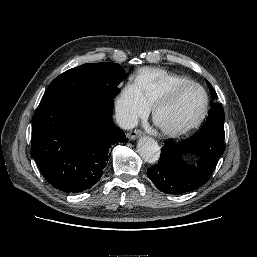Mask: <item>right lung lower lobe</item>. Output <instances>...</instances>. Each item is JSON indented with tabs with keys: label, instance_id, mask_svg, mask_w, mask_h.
Returning a JSON list of instances; mask_svg holds the SVG:
<instances>
[{
	"label": "right lung lower lobe",
	"instance_id": "1",
	"mask_svg": "<svg viewBox=\"0 0 257 257\" xmlns=\"http://www.w3.org/2000/svg\"><path fill=\"white\" fill-rule=\"evenodd\" d=\"M112 110L113 100L98 96L40 102L32 119L31 155L52 186L76 193L100 179L111 147L126 139Z\"/></svg>",
	"mask_w": 257,
	"mask_h": 257
}]
</instances>
